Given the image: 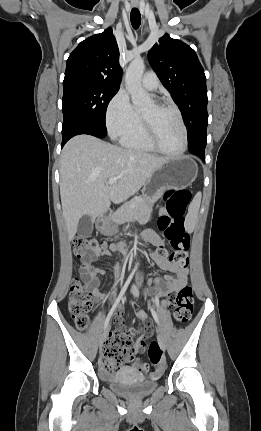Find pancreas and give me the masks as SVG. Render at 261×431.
Masks as SVG:
<instances>
[{
    "label": "pancreas",
    "mask_w": 261,
    "mask_h": 431,
    "mask_svg": "<svg viewBox=\"0 0 261 431\" xmlns=\"http://www.w3.org/2000/svg\"><path fill=\"white\" fill-rule=\"evenodd\" d=\"M152 207L153 203H149L143 197L133 198L113 213L112 220L116 224L141 220L144 217L150 216Z\"/></svg>",
    "instance_id": "pancreas-1"
}]
</instances>
